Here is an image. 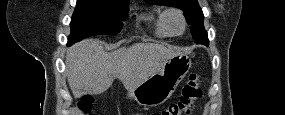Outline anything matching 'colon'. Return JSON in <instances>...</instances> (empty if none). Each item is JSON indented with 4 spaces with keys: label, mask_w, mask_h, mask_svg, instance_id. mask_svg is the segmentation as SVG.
I'll use <instances>...</instances> for the list:
<instances>
[{
    "label": "colon",
    "mask_w": 285,
    "mask_h": 115,
    "mask_svg": "<svg viewBox=\"0 0 285 115\" xmlns=\"http://www.w3.org/2000/svg\"><path fill=\"white\" fill-rule=\"evenodd\" d=\"M202 78L199 73H191L187 82L182 88V94L179 100L170 104L165 109L153 113V115H188L194 109L196 102L202 96L201 90ZM80 108L88 112L92 108V99L84 97L80 102Z\"/></svg>",
    "instance_id": "5ec220e1"
}]
</instances>
